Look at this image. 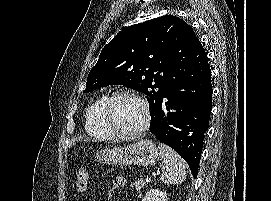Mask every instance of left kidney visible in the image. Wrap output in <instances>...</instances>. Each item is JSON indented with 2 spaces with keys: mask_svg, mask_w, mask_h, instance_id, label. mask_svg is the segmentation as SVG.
I'll list each match as a JSON object with an SVG mask.
<instances>
[{
  "mask_svg": "<svg viewBox=\"0 0 271 201\" xmlns=\"http://www.w3.org/2000/svg\"><path fill=\"white\" fill-rule=\"evenodd\" d=\"M142 201H168L167 194L159 189H151Z\"/></svg>",
  "mask_w": 271,
  "mask_h": 201,
  "instance_id": "left-kidney-1",
  "label": "left kidney"
}]
</instances>
